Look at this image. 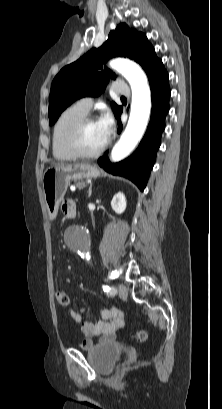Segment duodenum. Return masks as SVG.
<instances>
[{"label":"duodenum","mask_w":222,"mask_h":409,"mask_svg":"<svg viewBox=\"0 0 222 409\" xmlns=\"http://www.w3.org/2000/svg\"><path fill=\"white\" fill-rule=\"evenodd\" d=\"M71 216H72V217H74V216H75V213H74V212H73V213H71Z\"/></svg>","instance_id":"duodenum-1"}]
</instances>
